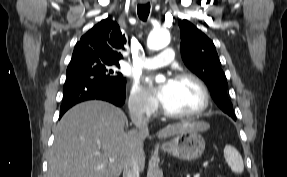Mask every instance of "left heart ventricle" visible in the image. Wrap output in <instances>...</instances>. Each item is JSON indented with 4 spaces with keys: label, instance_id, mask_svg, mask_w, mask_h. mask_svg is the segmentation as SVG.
<instances>
[{
    "label": "left heart ventricle",
    "instance_id": "b2bd125f",
    "mask_svg": "<svg viewBox=\"0 0 287 177\" xmlns=\"http://www.w3.org/2000/svg\"><path fill=\"white\" fill-rule=\"evenodd\" d=\"M202 103L200 89L191 81H173L162 104L171 112L192 113Z\"/></svg>",
    "mask_w": 287,
    "mask_h": 177
}]
</instances>
